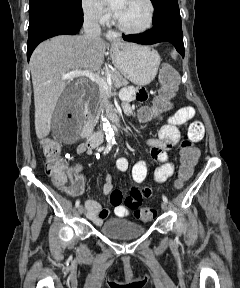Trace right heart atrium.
Masks as SVG:
<instances>
[{
    "instance_id": "right-heart-atrium-1",
    "label": "right heart atrium",
    "mask_w": 240,
    "mask_h": 288,
    "mask_svg": "<svg viewBox=\"0 0 240 288\" xmlns=\"http://www.w3.org/2000/svg\"><path fill=\"white\" fill-rule=\"evenodd\" d=\"M81 5L84 15L90 20L104 23L110 18L102 0H81Z\"/></svg>"
}]
</instances>
